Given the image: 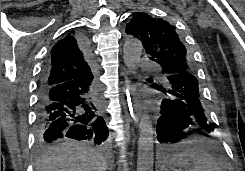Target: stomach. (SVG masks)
I'll use <instances>...</instances> for the list:
<instances>
[{"label":"stomach","instance_id":"stomach-1","mask_svg":"<svg viewBox=\"0 0 245 171\" xmlns=\"http://www.w3.org/2000/svg\"><path fill=\"white\" fill-rule=\"evenodd\" d=\"M189 158H185V159H181L180 161L174 163L175 165H183V166H186L189 162Z\"/></svg>","mask_w":245,"mask_h":171}]
</instances>
